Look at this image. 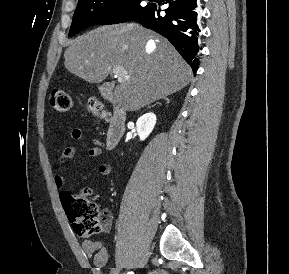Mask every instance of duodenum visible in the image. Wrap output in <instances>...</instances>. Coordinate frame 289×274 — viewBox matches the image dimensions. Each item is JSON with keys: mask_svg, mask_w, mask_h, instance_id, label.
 I'll list each match as a JSON object with an SVG mask.
<instances>
[{"mask_svg": "<svg viewBox=\"0 0 289 274\" xmlns=\"http://www.w3.org/2000/svg\"><path fill=\"white\" fill-rule=\"evenodd\" d=\"M102 95L112 104V115L105 142L107 149L112 150L119 144L124 135L127 116L125 109L116 102L108 90L103 89Z\"/></svg>", "mask_w": 289, "mask_h": 274, "instance_id": "obj_1", "label": "duodenum"}]
</instances>
